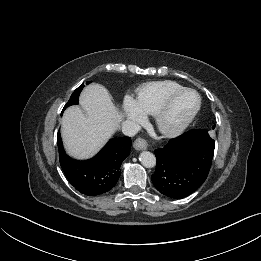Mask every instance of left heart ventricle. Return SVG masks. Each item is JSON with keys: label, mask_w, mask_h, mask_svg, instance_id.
<instances>
[{"label": "left heart ventricle", "mask_w": 261, "mask_h": 261, "mask_svg": "<svg viewBox=\"0 0 261 261\" xmlns=\"http://www.w3.org/2000/svg\"><path fill=\"white\" fill-rule=\"evenodd\" d=\"M197 96L192 92L180 95L171 105L164 123L173 126L183 121L196 107Z\"/></svg>", "instance_id": "1"}]
</instances>
